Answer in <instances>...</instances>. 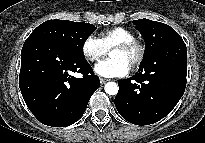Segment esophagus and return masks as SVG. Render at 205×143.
<instances>
[{
  "mask_svg": "<svg viewBox=\"0 0 205 143\" xmlns=\"http://www.w3.org/2000/svg\"><path fill=\"white\" fill-rule=\"evenodd\" d=\"M107 81H108V80L105 79V78H100V83H101V84H105Z\"/></svg>",
  "mask_w": 205,
  "mask_h": 143,
  "instance_id": "1",
  "label": "esophagus"
}]
</instances>
